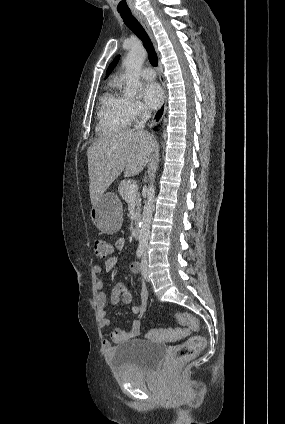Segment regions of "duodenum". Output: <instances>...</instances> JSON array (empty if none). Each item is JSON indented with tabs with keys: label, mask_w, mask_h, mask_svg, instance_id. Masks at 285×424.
I'll use <instances>...</instances> for the list:
<instances>
[{
	"label": "duodenum",
	"mask_w": 285,
	"mask_h": 424,
	"mask_svg": "<svg viewBox=\"0 0 285 424\" xmlns=\"http://www.w3.org/2000/svg\"><path fill=\"white\" fill-rule=\"evenodd\" d=\"M133 236L135 240H140L141 238V227L138 224L134 228Z\"/></svg>",
	"instance_id": "duodenum-1"
}]
</instances>
